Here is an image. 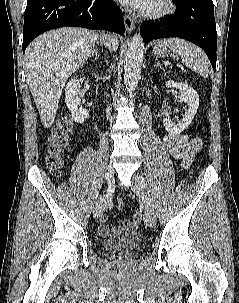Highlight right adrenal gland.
I'll list each match as a JSON object with an SVG mask.
<instances>
[{"label": "right adrenal gland", "mask_w": 239, "mask_h": 303, "mask_svg": "<svg viewBox=\"0 0 239 303\" xmlns=\"http://www.w3.org/2000/svg\"><path fill=\"white\" fill-rule=\"evenodd\" d=\"M94 55H95L96 59L99 57L98 50H97L96 46L93 48V51H92V53H91V55L89 57L91 58Z\"/></svg>", "instance_id": "obj_1"}]
</instances>
